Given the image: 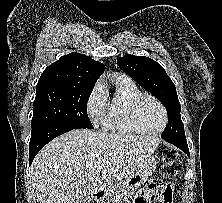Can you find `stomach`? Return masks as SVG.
<instances>
[{"label":"stomach","instance_id":"stomach-1","mask_svg":"<svg viewBox=\"0 0 222 203\" xmlns=\"http://www.w3.org/2000/svg\"><path fill=\"white\" fill-rule=\"evenodd\" d=\"M157 164L156 156L150 155L134 173L128 176L120 185L121 197L131 196L140 188L155 171Z\"/></svg>","mask_w":222,"mask_h":203}]
</instances>
